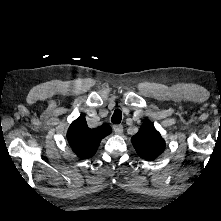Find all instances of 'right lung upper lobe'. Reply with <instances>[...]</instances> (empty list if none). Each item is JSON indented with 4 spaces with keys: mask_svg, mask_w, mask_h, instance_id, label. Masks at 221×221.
Wrapping results in <instances>:
<instances>
[{
    "mask_svg": "<svg viewBox=\"0 0 221 221\" xmlns=\"http://www.w3.org/2000/svg\"><path fill=\"white\" fill-rule=\"evenodd\" d=\"M112 129L109 125L90 129L84 117H79L72 122L67 132V139L76 155L82 159L92 157L101 140L110 134Z\"/></svg>",
    "mask_w": 221,
    "mask_h": 221,
    "instance_id": "1",
    "label": "right lung upper lobe"
}]
</instances>
